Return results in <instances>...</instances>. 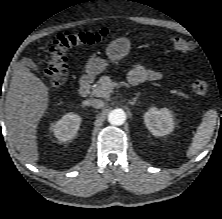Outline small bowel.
Here are the masks:
<instances>
[{"label":"small bowel","instance_id":"obj_1","mask_svg":"<svg viewBox=\"0 0 222 219\" xmlns=\"http://www.w3.org/2000/svg\"><path fill=\"white\" fill-rule=\"evenodd\" d=\"M161 76L159 71L149 69L142 64H136L130 70L128 80L132 85H137L146 81L158 80Z\"/></svg>","mask_w":222,"mask_h":219}]
</instances>
